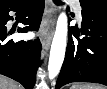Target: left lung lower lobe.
Listing matches in <instances>:
<instances>
[{
	"label": "left lung lower lobe",
	"instance_id": "obj_1",
	"mask_svg": "<svg viewBox=\"0 0 107 89\" xmlns=\"http://www.w3.org/2000/svg\"><path fill=\"white\" fill-rule=\"evenodd\" d=\"M55 89L71 82H93L107 85V13L82 9V31L79 39L74 28ZM79 34V31L76 30Z\"/></svg>",
	"mask_w": 107,
	"mask_h": 89
}]
</instances>
